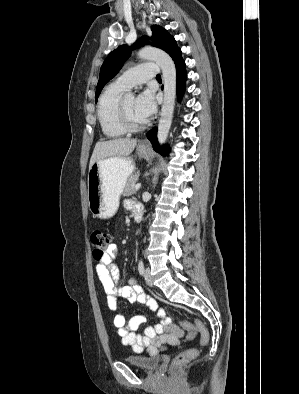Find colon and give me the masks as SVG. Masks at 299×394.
Wrapping results in <instances>:
<instances>
[{"label":"colon","instance_id":"5ec220e1","mask_svg":"<svg viewBox=\"0 0 299 394\" xmlns=\"http://www.w3.org/2000/svg\"><path fill=\"white\" fill-rule=\"evenodd\" d=\"M90 241L92 244L93 255L96 258H103L110 245H111V236L110 234L103 229H93L90 233ZM181 326L183 329L188 331V339H192L196 333L200 334V344L202 346L208 345L210 341V334L208 329L204 326V324L200 320H196L195 324H191L189 322L183 321L181 322ZM198 355V351L194 348L188 349L180 354H178L174 359L175 366H182L186 363L195 359Z\"/></svg>","mask_w":299,"mask_h":394}]
</instances>
